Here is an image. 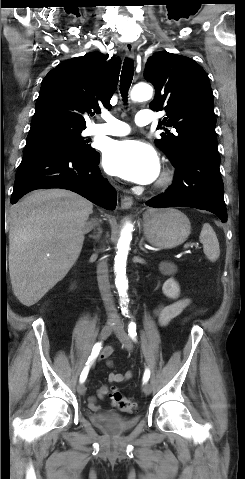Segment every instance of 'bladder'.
<instances>
[{
  "instance_id": "bladder-1",
  "label": "bladder",
  "mask_w": 245,
  "mask_h": 479,
  "mask_svg": "<svg viewBox=\"0 0 245 479\" xmlns=\"http://www.w3.org/2000/svg\"><path fill=\"white\" fill-rule=\"evenodd\" d=\"M91 422L94 426L100 428L102 431L117 435L131 429L137 422L136 418H122V417H93Z\"/></svg>"
}]
</instances>
